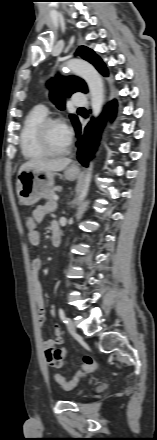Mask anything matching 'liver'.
I'll list each match as a JSON object with an SVG mask.
<instances>
[{
  "mask_svg": "<svg viewBox=\"0 0 157 440\" xmlns=\"http://www.w3.org/2000/svg\"><path fill=\"white\" fill-rule=\"evenodd\" d=\"M72 162L69 158L59 159H34L30 160L19 169V173L25 170L36 169L40 171L58 172L64 170Z\"/></svg>",
  "mask_w": 157,
  "mask_h": 440,
  "instance_id": "liver-1",
  "label": "liver"
}]
</instances>
